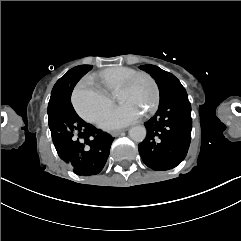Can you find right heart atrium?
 <instances>
[{
  "label": "right heart atrium",
  "instance_id": "right-heart-atrium-1",
  "mask_svg": "<svg viewBox=\"0 0 241 241\" xmlns=\"http://www.w3.org/2000/svg\"><path fill=\"white\" fill-rule=\"evenodd\" d=\"M97 78L87 75L84 85L75 88L72 104L77 114L88 123H97L110 107V100L96 87Z\"/></svg>",
  "mask_w": 241,
  "mask_h": 241
}]
</instances>
